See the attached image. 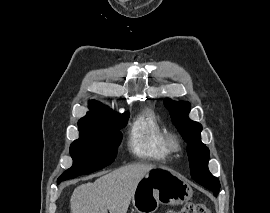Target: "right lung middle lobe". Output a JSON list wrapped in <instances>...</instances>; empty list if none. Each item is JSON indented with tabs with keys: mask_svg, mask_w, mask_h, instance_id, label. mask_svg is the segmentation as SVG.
<instances>
[{
	"mask_svg": "<svg viewBox=\"0 0 270 213\" xmlns=\"http://www.w3.org/2000/svg\"><path fill=\"white\" fill-rule=\"evenodd\" d=\"M128 118L129 113L112 121L78 122L79 139L70 146L73 165L57 182L88 174L111 164L122 138L119 129L126 125Z\"/></svg>",
	"mask_w": 270,
	"mask_h": 213,
	"instance_id": "dd1d6c3e",
	"label": "right lung middle lobe"
}]
</instances>
